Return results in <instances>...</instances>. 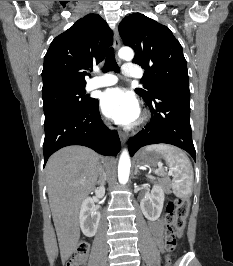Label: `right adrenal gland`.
Wrapping results in <instances>:
<instances>
[{
    "instance_id": "1",
    "label": "right adrenal gland",
    "mask_w": 233,
    "mask_h": 266,
    "mask_svg": "<svg viewBox=\"0 0 233 266\" xmlns=\"http://www.w3.org/2000/svg\"><path fill=\"white\" fill-rule=\"evenodd\" d=\"M105 180H106V178L99 179V180L97 181V183L100 184L101 187H104Z\"/></svg>"
}]
</instances>
